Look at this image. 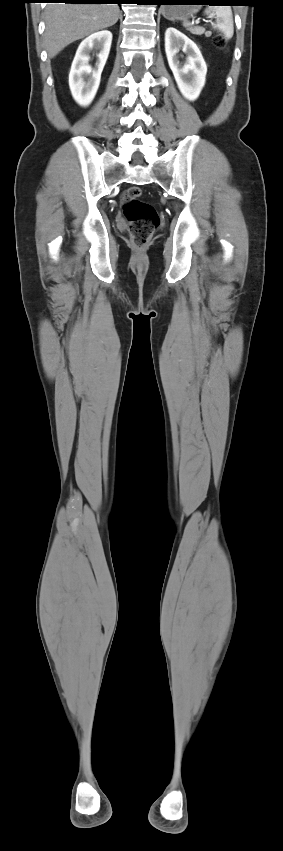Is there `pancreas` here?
Wrapping results in <instances>:
<instances>
[{
	"mask_svg": "<svg viewBox=\"0 0 283 851\" xmlns=\"http://www.w3.org/2000/svg\"><path fill=\"white\" fill-rule=\"evenodd\" d=\"M192 33H193V34H196V35H201V34H203V33H204V29H203V28H201V27H198V28L193 29V30H192Z\"/></svg>",
	"mask_w": 283,
	"mask_h": 851,
	"instance_id": "1",
	"label": "pancreas"
}]
</instances>
